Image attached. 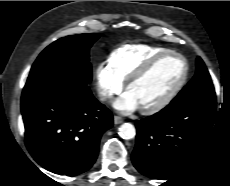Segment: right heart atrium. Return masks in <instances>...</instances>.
I'll use <instances>...</instances> for the list:
<instances>
[{
  "mask_svg": "<svg viewBox=\"0 0 230 186\" xmlns=\"http://www.w3.org/2000/svg\"><path fill=\"white\" fill-rule=\"evenodd\" d=\"M97 90L102 100H110L119 94L124 82L111 70L106 62H100L95 70Z\"/></svg>",
  "mask_w": 230,
  "mask_h": 186,
  "instance_id": "d8ad5b80",
  "label": "right heart atrium"
}]
</instances>
